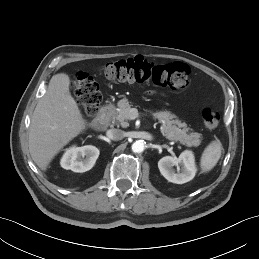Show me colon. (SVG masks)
<instances>
[{
	"instance_id": "1",
	"label": "colon",
	"mask_w": 259,
	"mask_h": 259,
	"mask_svg": "<svg viewBox=\"0 0 259 259\" xmlns=\"http://www.w3.org/2000/svg\"><path fill=\"white\" fill-rule=\"evenodd\" d=\"M102 74L106 79L113 81L152 82L160 87L181 90L188 85L190 70L181 62L156 64L143 57H135L105 64ZM73 89L84 112L88 116H94L102 98L95 79L88 73L79 72L73 81ZM202 120L207 129L214 130L220 123V114L207 108L202 112Z\"/></svg>"
}]
</instances>
